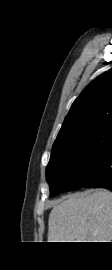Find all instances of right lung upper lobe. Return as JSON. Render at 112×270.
I'll use <instances>...</instances> for the list:
<instances>
[{"instance_id":"right-lung-upper-lobe-1","label":"right lung upper lobe","mask_w":112,"mask_h":270,"mask_svg":"<svg viewBox=\"0 0 112 270\" xmlns=\"http://www.w3.org/2000/svg\"><path fill=\"white\" fill-rule=\"evenodd\" d=\"M112 121V69L92 81L72 104L53 144Z\"/></svg>"}]
</instances>
